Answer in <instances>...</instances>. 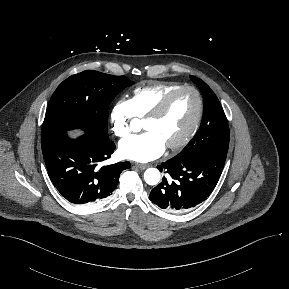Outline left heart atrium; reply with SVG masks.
Returning a JSON list of instances; mask_svg holds the SVG:
<instances>
[{
	"mask_svg": "<svg viewBox=\"0 0 289 289\" xmlns=\"http://www.w3.org/2000/svg\"><path fill=\"white\" fill-rule=\"evenodd\" d=\"M163 141L151 131L131 135L119 143V153L123 158L138 162H148L160 157L165 151Z\"/></svg>",
	"mask_w": 289,
	"mask_h": 289,
	"instance_id": "obj_1",
	"label": "left heart atrium"
}]
</instances>
